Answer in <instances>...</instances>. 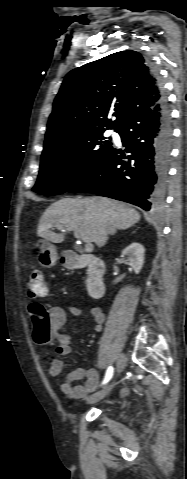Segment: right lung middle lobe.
I'll list each match as a JSON object with an SVG mask.
<instances>
[{"instance_id":"obj_1","label":"right lung middle lobe","mask_w":187,"mask_h":479,"mask_svg":"<svg viewBox=\"0 0 187 479\" xmlns=\"http://www.w3.org/2000/svg\"><path fill=\"white\" fill-rule=\"evenodd\" d=\"M106 129L82 132L44 148L33 191L62 194L83 179L112 149Z\"/></svg>"}]
</instances>
